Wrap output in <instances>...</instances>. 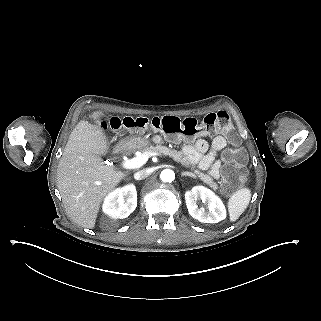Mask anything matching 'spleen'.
<instances>
[{
    "mask_svg": "<svg viewBox=\"0 0 321 321\" xmlns=\"http://www.w3.org/2000/svg\"><path fill=\"white\" fill-rule=\"evenodd\" d=\"M251 199V191L248 188L237 190L228 200V212L230 221H236L247 208Z\"/></svg>",
    "mask_w": 321,
    "mask_h": 321,
    "instance_id": "3e777b00",
    "label": "spleen"
}]
</instances>
